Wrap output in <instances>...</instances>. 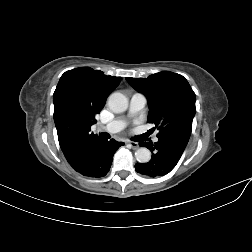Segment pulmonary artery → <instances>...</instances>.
<instances>
[{
  "instance_id": "obj_1",
  "label": "pulmonary artery",
  "mask_w": 252,
  "mask_h": 252,
  "mask_svg": "<svg viewBox=\"0 0 252 252\" xmlns=\"http://www.w3.org/2000/svg\"><path fill=\"white\" fill-rule=\"evenodd\" d=\"M146 103L147 99L144 94L142 93L133 94L130 99L128 115L133 116L137 114L145 107ZM125 126H126L125 118L118 117L105 125H100L99 129L108 133H116L122 130ZM154 140L158 141V138L155 137Z\"/></svg>"
}]
</instances>
